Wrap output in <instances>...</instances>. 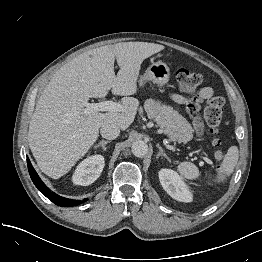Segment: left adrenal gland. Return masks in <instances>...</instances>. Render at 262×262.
<instances>
[{
	"label": "left adrenal gland",
	"mask_w": 262,
	"mask_h": 262,
	"mask_svg": "<svg viewBox=\"0 0 262 262\" xmlns=\"http://www.w3.org/2000/svg\"><path fill=\"white\" fill-rule=\"evenodd\" d=\"M157 148L159 149V152H158L156 158L158 159L160 156H163V157H165L168 161H170V158L167 156V154L164 152V150L162 149V147H161L159 144H157Z\"/></svg>",
	"instance_id": "1"
}]
</instances>
